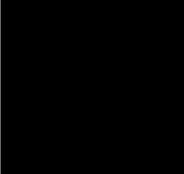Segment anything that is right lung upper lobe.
I'll use <instances>...</instances> for the list:
<instances>
[{
  "label": "right lung upper lobe",
  "mask_w": 184,
  "mask_h": 174,
  "mask_svg": "<svg viewBox=\"0 0 184 174\" xmlns=\"http://www.w3.org/2000/svg\"><path fill=\"white\" fill-rule=\"evenodd\" d=\"M36 86L42 91L40 102L32 107L36 122L66 117L69 89L64 81V66L60 62L45 65L38 73Z\"/></svg>",
  "instance_id": "1"
}]
</instances>
